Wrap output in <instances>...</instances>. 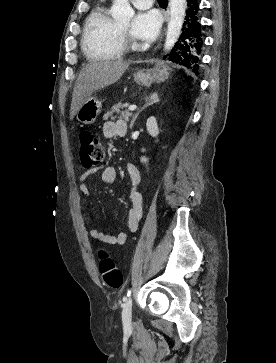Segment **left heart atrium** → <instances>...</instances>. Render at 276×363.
<instances>
[{
    "label": "left heart atrium",
    "mask_w": 276,
    "mask_h": 363,
    "mask_svg": "<svg viewBox=\"0 0 276 363\" xmlns=\"http://www.w3.org/2000/svg\"><path fill=\"white\" fill-rule=\"evenodd\" d=\"M161 27L160 14L155 10L138 12L131 24V34L141 41H151L156 38Z\"/></svg>",
    "instance_id": "39dd6f15"
}]
</instances>
